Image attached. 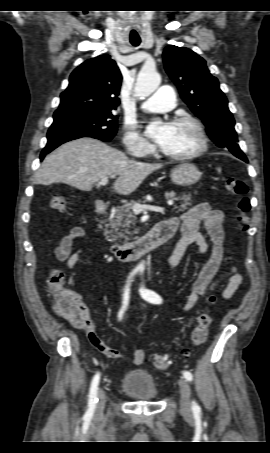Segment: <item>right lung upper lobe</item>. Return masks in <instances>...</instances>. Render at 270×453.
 Returning a JSON list of instances; mask_svg holds the SVG:
<instances>
[{
    "mask_svg": "<svg viewBox=\"0 0 270 453\" xmlns=\"http://www.w3.org/2000/svg\"><path fill=\"white\" fill-rule=\"evenodd\" d=\"M122 75L109 55H100L78 66L54 117L86 111H111L119 104Z\"/></svg>",
    "mask_w": 270,
    "mask_h": 453,
    "instance_id": "1",
    "label": "right lung upper lobe"
}]
</instances>
